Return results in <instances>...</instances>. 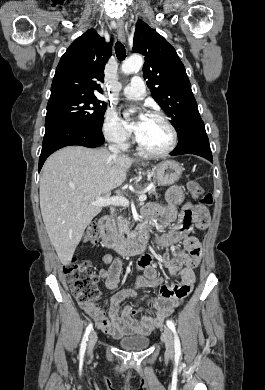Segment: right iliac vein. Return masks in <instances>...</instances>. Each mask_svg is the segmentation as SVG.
<instances>
[{
	"instance_id": "1",
	"label": "right iliac vein",
	"mask_w": 265,
	"mask_h": 390,
	"mask_svg": "<svg viewBox=\"0 0 265 390\" xmlns=\"http://www.w3.org/2000/svg\"><path fill=\"white\" fill-rule=\"evenodd\" d=\"M96 341H97V333L95 330H93L89 336L88 347H87L88 354H91L93 352Z\"/></svg>"
}]
</instances>
